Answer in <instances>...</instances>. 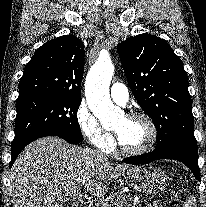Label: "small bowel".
Here are the masks:
<instances>
[{"mask_svg": "<svg viewBox=\"0 0 206 207\" xmlns=\"http://www.w3.org/2000/svg\"><path fill=\"white\" fill-rule=\"evenodd\" d=\"M148 207H160L159 204H152V205H149Z\"/></svg>", "mask_w": 206, "mask_h": 207, "instance_id": "small-bowel-1", "label": "small bowel"}]
</instances>
